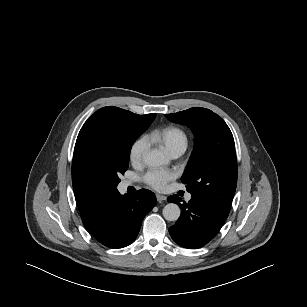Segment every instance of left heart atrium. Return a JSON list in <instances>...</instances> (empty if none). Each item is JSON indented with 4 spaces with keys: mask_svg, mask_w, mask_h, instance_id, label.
<instances>
[{
    "mask_svg": "<svg viewBox=\"0 0 307 307\" xmlns=\"http://www.w3.org/2000/svg\"><path fill=\"white\" fill-rule=\"evenodd\" d=\"M173 178H175L173 172L152 169L145 174L144 181L156 190H163L166 188L167 183Z\"/></svg>",
    "mask_w": 307,
    "mask_h": 307,
    "instance_id": "1",
    "label": "left heart atrium"
}]
</instances>
